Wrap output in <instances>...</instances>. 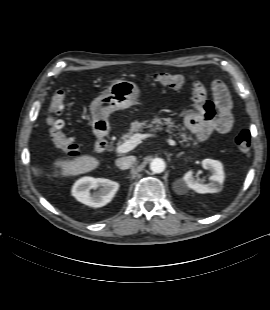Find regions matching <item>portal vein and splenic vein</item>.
Segmentation results:
<instances>
[{"instance_id":"1","label":"portal vein and splenic vein","mask_w":270,"mask_h":310,"mask_svg":"<svg viewBox=\"0 0 270 310\" xmlns=\"http://www.w3.org/2000/svg\"><path fill=\"white\" fill-rule=\"evenodd\" d=\"M149 136H151V134L136 133L129 140H127L125 143L117 146L115 151L118 154L127 153V152L131 151L132 149H134L139 143H141L142 139L149 137ZM167 142L169 143V145H172V146L177 145V143L174 140H172L171 138H169L167 140Z\"/></svg>"}]
</instances>
